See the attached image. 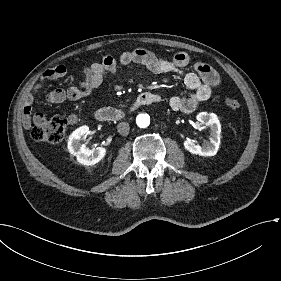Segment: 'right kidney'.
Segmentation results:
<instances>
[{"mask_svg":"<svg viewBox=\"0 0 281 281\" xmlns=\"http://www.w3.org/2000/svg\"><path fill=\"white\" fill-rule=\"evenodd\" d=\"M90 134L87 124L78 127L70 136L68 148L72 155L76 156L77 161L84 166H94L100 162L107 154V148L97 147L90 149L83 143V139Z\"/></svg>","mask_w":281,"mask_h":281,"instance_id":"1","label":"right kidney"}]
</instances>
